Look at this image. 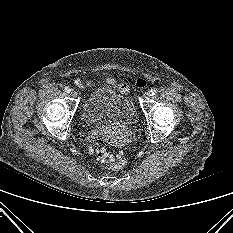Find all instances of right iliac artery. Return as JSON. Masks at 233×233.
<instances>
[{
  "label": "right iliac artery",
  "mask_w": 233,
  "mask_h": 233,
  "mask_svg": "<svg viewBox=\"0 0 233 233\" xmlns=\"http://www.w3.org/2000/svg\"><path fill=\"white\" fill-rule=\"evenodd\" d=\"M65 92L69 93L71 91V89L69 87H65L64 88Z\"/></svg>",
  "instance_id": "82829eb1"
}]
</instances>
